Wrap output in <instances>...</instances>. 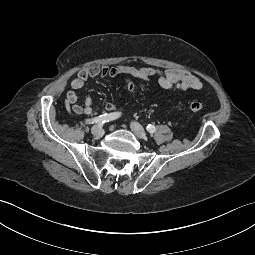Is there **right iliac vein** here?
Returning <instances> with one entry per match:
<instances>
[{
	"label": "right iliac vein",
	"mask_w": 255,
	"mask_h": 255,
	"mask_svg": "<svg viewBox=\"0 0 255 255\" xmlns=\"http://www.w3.org/2000/svg\"><path fill=\"white\" fill-rule=\"evenodd\" d=\"M91 133L98 137V138H101L104 134V130L101 126H93L92 129H91Z\"/></svg>",
	"instance_id": "right-iliac-vein-1"
}]
</instances>
